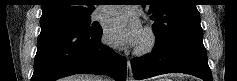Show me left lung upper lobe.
<instances>
[{
	"label": "left lung upper lobe",
	"mask_w": 237,
	"mask_h": 81,
	"mask_svg": "<svg viewBox=\"0 0 237 81\" xmlns=\"http://www.w3.org/2000/svg\"><path fill=\"white\" fill-rule=\"evenodd\" d=\"M149 6L156 42L180 33L202 32L195 0H151Z\"/></svg>",
	"instance_id": "5c2ea615"
}]
</instances>
